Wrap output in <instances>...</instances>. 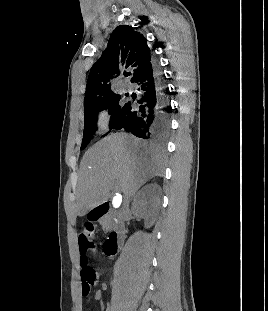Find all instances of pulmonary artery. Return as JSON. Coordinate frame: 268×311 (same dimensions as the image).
<instances>
[{
    "instance_id": "pulmonary-artery-1",
    "label": "pulmonary artery",
    "mask_w": 268,
    "mask_h": 311,
    "mask_svg": "<svg viewBox=\"0 0 268 311\" xmlns=\"http://www.w3.org/2000/svg\"><path fill=\"white\" fill-rule=\"evenodd\" d=\"M123 90H128V86H127V85H124V86H123Z\"/></svg>"
}]
</instances>
